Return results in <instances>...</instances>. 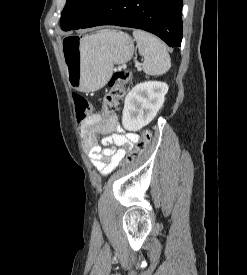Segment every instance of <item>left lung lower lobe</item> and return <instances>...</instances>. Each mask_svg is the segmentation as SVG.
I'll use <instances>...</instances> for the list:
<instances>
[{
    "label": "left lung lower lobe",
    "mask_w": 247,
    "mask_h": 275,
    "mask_svg": "<svg viewBox=\"0 0 247 275\" xmlns=\"http://www.w3.org/2000/svg\"><path fill=\"white\" fill-rule=\"evenodd\" d=\"M183 0H105L79 28L99 25L151 32L170 47L181 46ZM77 28V29H79Z\"/></svg>",
    "instance_id": "1"
}]
</instances>
